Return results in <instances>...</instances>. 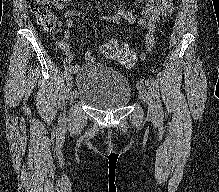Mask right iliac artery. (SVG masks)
<instances>
[{"instance_id":"obj_1","label":"right iliac artery","mask_w":219,"mask_h":192,"mask_svg":"<svg viewBox=\"0 0 219 192\" xmlns=\"http://www.w3.org/2000/svg\"><path fill=\"white\" fill-rule=\"evenodd\" d=\"M71 79V75L70 74H66V80L69 81Z\"/></svg>"}]
</instances>
